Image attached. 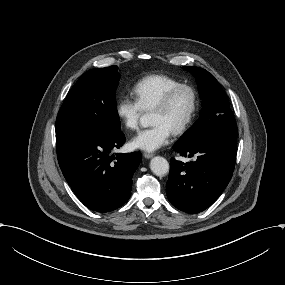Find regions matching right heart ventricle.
Instances as JSON below:
<instances>
[{"label": "right heart ventricle", "mask_w": 285, "mask_h": 285, "mask_svg": "<svg viewBox=\"0 0 285 285\" xmlns=\"http://www.w3.org/2000/svg\"><path fill=\"white\" fill-rule=\"evenodd\" d=\"M180 83L174 77L164 74H154L138 81L134 87V94L144 110H150L173 86Z\"/></svg>", "instance_id": "right-heart-ventricle-1"}]
</instances>
